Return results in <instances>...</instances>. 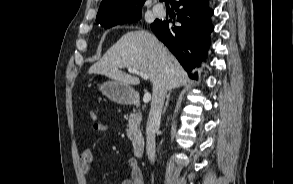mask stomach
<instances>
[{"mask_svg": "<svg viewBox=\"0 0 293 184\" xmlns=\"http://www.w3.org/2000/svg\"><path fill=\"white\" fill-rule=\"evenodd\" d=\"M101 93L118 104H129L137 96V92L128 84L111 80L98 85Z\"/></svg>", "mask_w": 293, "mask_h": 184, "instance_id": "stomach-1", "label": "stomach"}]
</instances>
